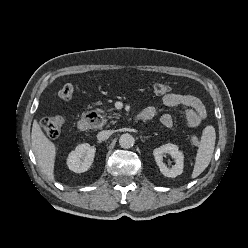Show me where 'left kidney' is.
Masks as SVG:
<instances>
[{"label":"left kidney","mask_w":248,"mask_h":248,"mask_svg":"<svg viewBox=\"0 0 248 248\" xmlns=\"http://www.w3.org/2000/svg\"><path fill=\"white\" fill-rule=\"evenodd\" d=\"M169 154L175 161V165L168 168L163 162V157ZM153 155L157 166L159 167L161 173L166 177L175 178L176 176L182 174L184 167V156L181 151H179L177 145L168 143L160 146L153 150Z\"/></svg>","instance_id":"5707ae66"}]
</instances>
